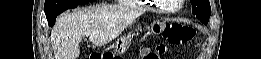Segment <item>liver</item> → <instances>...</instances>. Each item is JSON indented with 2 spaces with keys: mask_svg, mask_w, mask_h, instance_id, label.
<instances>
[{
  "mask_svg": "<svg viewBox=\"0 0 261 59\" xmlns=\"http://www.w3.org/2000/svg\"><path fill=\"white\" fill-rule=\"evenodd\" d=\"M137 14H126L114 7L99 5L66 12L51 31L55 59H77L82 37L102 46L117 38L130 25Z\"/></svg>",
  "mask_w": 261,
  "mask_h": 59,
  "instance_id": "obj_1",
  "label": "liver"
}]
</instances>
